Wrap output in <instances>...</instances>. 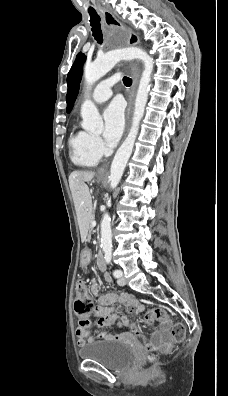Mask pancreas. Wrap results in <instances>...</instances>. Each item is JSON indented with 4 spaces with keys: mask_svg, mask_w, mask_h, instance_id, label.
Masks as SVG:
<instances>
[{
    "mask_svg": "<svg viewBox=\"0 0 228 396\" xmlns=\"http://www.w3.org/2000/svg\"><path fill=\"white\" fill-rule=\"evenodd\" d=\"M91 218H92V220L95 219V218H96V215H95V214H92V215H91ZM92 230H93V227L91 226L90 229H89V235H88V236H89V238H88L89 241L91 240L90 237H92V236H91Z\"/></svg>",
    "mask_w": 228,
    "mask_h": 396,
    "instance_id": "1",
    "label": "pancreas"
}]
</instances>
